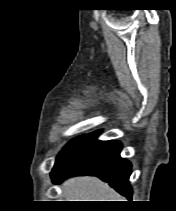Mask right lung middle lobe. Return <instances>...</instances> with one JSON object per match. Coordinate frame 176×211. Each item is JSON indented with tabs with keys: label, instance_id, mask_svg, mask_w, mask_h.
<instances>
[{
	"label": "right lung middle lobe",
	"instance_id": "right-lung-middle-lobe-1",
	"mask_svg": "<svg viewBox=\"0 0 176 211\" xmlns=\"http://www.w3.org/2000/svg\"><path fill=\"white\" fill-rule=\"evenodd\" d=\"M83 137L80 136L78 138L73 139L72 141H70L64 148L63 150L59 153L57 160L70 148L72 147L75 143H77L79 140H81ZM56 160V161H57Z\"/></svg>",
	"mask_w": 176,
	"mask_h": 211
}]
</instances>
